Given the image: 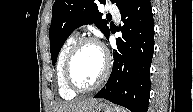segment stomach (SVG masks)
I'll list each match as a JSON object with an SVG mask.
<instances>
[{"label":"stomach","mask_w":193,"mask_h":112,"mask_svg":"<svg viewBox=\"0 0 193 112\" xmlns=\"http://www.w3.org/2000/svg\"><path fill=\"white\" fill-rule=\"evenodd\" d=\"M86 112H115L114 109H112L109 105L106 103L98 100L95 102L92 107L87 110Z\"/></svg>","instance_id":"1"}]
</instances>
